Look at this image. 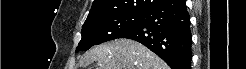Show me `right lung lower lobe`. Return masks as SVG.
Returning a JSON list of instances; mask_svg holds the SVG:
<instances>
[{"label":"right lung lower lobe","instance_id":"98d812e1","mask_svg":"<svg viewBox=\"0 0 246 69\" xmlns=\"http://www.w3.org/2000/svg\"><path fill=\"white\" fill-rule=\"evenodd\" d=\"M119 38L142 43L172 69H191L192 37L185 0H167L144 11L141 22Z\"/></svg>","mask_w":246,"mask_h":69}]
</instances>
